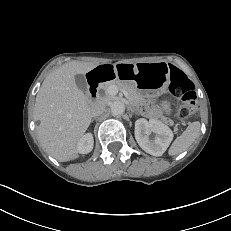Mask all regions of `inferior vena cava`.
Segmentation results:
<instances>
[{
    "label": "inferior vena cava",
    "instance_id": "obj_1",
    "mask_svg": "<svg viewBox=\"0 0 231 231\" xmlns=\"http://www.w3.org/2000/svg\"><path fill=\"white\" fill-rule=\"evenodd\" d=\"M106 105L104 101H96L91 107L92 117L100 116L105 111Z\"/></svg>",
    "mask_w": 231,
    "mask_h": 231
}]
</instances>
